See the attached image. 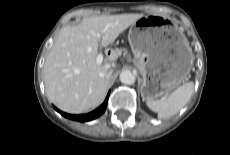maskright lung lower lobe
Segmentation results:
<instances>
[{
  "mask_svg": "<svg viewBox=\"0 0 230 155\" xmlns=\"http://www.w3.org/2000/svg\"><path fill=\"white\" fill-rule=\"evenodd\" d=\"M108 97H109V93L104 101V103L98 107L96 110L88 113V114H83V115H70V114H66L60 110H58L56 107H54L55 110H57L62 116L72 119V120H76V121H80V122H85V121H90L93 120L97 117H99L100 115H102L107 107V101H108Z\"/></svg>",
  "mask_w": 230,
  "mask_h": 155,
  "instance_id": "obj_1",
  "label": "right lung lower lobe"
}]
</instances>
